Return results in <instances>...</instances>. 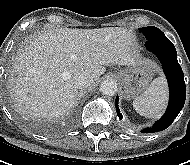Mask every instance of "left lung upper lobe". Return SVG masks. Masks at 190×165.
Wrapping results in <instances>:
<instances>
[{
    "label": "left lung upper lobe",
    "mask_w": 190,
    "mask_h": 165,
    "mask_svg": "<svg viewBox=\"0 0 190 165\" xmlns=\"http://www.w3.org/2000/svg\"><path fill=\"white\" fill-rule=\"evenodd\" d=\"M140 32H142L145 35L147 41L165 36L160 29L154 26L140 28Z\"/></svg>",
    "instance_id": "left-lung-upper-lobe-1"
}]
</instances>
